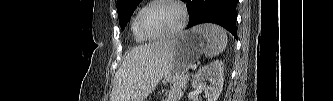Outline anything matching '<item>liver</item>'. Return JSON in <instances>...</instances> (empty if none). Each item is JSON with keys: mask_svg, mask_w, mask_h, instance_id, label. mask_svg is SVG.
I'll list each match as a JSON object with an SVG mask.
<instances>
[{"mask_svg": "<svg viewBox=\"0 0 333 101\" xmlns=\"http://www.w3.org/2000/svg\"><path fill=\"white\" fill-rule=\"evenodd\" d=\"M170 55V40L132 49L115 74L111 101L146 99L165 75Z\"/></svg>", "mask_w": 333, "mask_h": 101, "instance_id": "6515ba94", "label": "liver"}]
</instances>
